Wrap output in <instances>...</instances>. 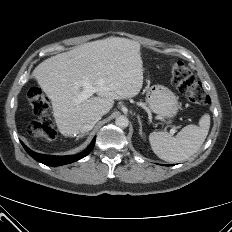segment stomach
Instances as JSON below:
<instances>
[{"mask_svg":"<svg viewBox=\"0 0 232 232\" xmlns=\"http://www.w3.org/2000/svg\"><path fill=\"white\" fill-rule=\"evenodd\" d=\"M147 104L153 113L164 119L175 117L179 109L178 97L161 85H154L149 89Z\"/></svg>","mask_w":232,"mask_h":232,"instance_id":"obj_1","label":"stomach"}]
</instances>
